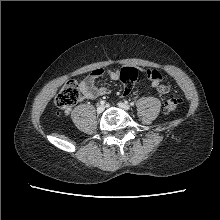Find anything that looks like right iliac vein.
Segmentation results:
<instances>
[{"instance_id": "right-iliac-vein-1", "label": "right iliac vein", "mask_w": 220, "mask_h": 220, "mask_svg": "<svg viewBox=\"0 0 220 220\" xmlns=\"http://www.w3.org/2000/svg\"><path fill=\"white\" fill-rule=\"evenodd\" d=\"M104 109H105V106H104V105H99V106L97 107V109H96V112H97L98 114H101V113L104 111Z\"/></svg>"}]
</instances>
